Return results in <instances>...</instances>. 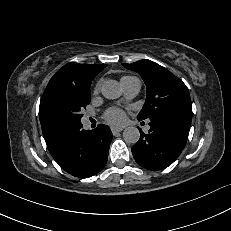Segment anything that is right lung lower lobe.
<instances>
[{
  "label": "right lung lower lobe",
  "mask_w": 231,
  "mask_h": 231,
  "mask_svg": "<svg viewBox=\"0 0 231 231\" xmlns=\"http://www.w3.org/2000/svg\"><path fill=\"white\" fill-rule=\"evenodd\" d=\"M112 137L107 125L100 124L94 130H84L79 123L58 130L47 140V147L66 172L75 177L88 178L106 165Z\"/></svg>",
  "instance_id": "1"
}]
</instances>
